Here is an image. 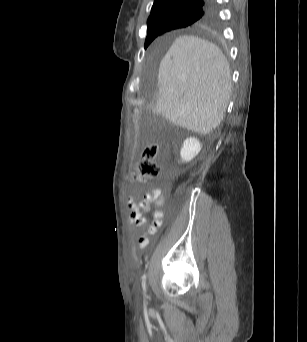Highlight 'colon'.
Listing matches in <instances>:
<instances>
[{"instance_id":"1","label":"colon","mask_w":307,"mask_h":342,"mask_svg":"<svg viewBox=\"0 0 307 342\" xmlns=\"http://www.w3.org/2000/svg\"><path fill=\"white\" fill-rule=\"evenodd\" d=\"M158 154L159 146L157 144L149 143L144 146L141 152V158L133 175L134 181L143 183L159 175L160 166L156 162Z\"/></svg>"}]
</instances>
